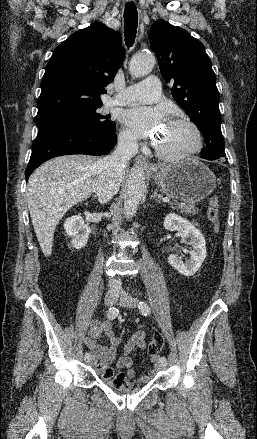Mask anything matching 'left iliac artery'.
Instances as JSON below:
<instances>
[{"instance_id":"left-iliac-artery-1","label":"left iliac artery","mask_w":257,"mask_h":439,"mask_svg":"<svg viewBox=\"0 0 257 439\" xmlns=\"http://www.w3.org/2000/svg\"><path fill=\"white\" fill-rule=\"evenodd\" d=\"M138 308L140 312L145 316L149 315L151 312L150 307L145 302H140ZM159 362L167 364V359L163 356L159 359Z\"/></svg>"}]
</instances>
